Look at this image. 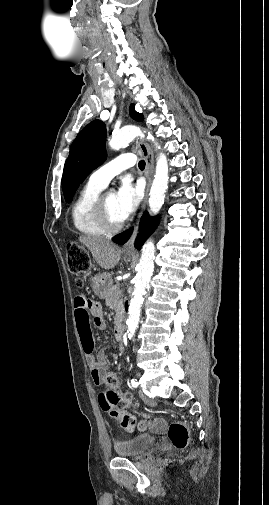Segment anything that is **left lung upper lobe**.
<instances>
[{
  "label": "left lung upper lobe",
  "instance_id": "1",
  "mask_svg": "<svg viewBox=\"0 0 269 505\" xmlns=\"http://www.w3.org/2000/svg\"><path fill=\"white\" fill-rule=\"evenodd\" d=\"M130 115L134 120H143V115L135 111L134 105L130 106ZM105 140V124L94 120L84 127L72 143L62 179L67 202L72 201L75 191L86 176L105 160Z\"/></svg>",
  "mask_w": 269,
  "mask_h": 505
}]
</instances>
